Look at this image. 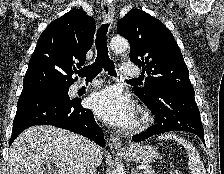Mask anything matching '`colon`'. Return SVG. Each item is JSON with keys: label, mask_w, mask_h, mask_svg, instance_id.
<instances>
[{"label": "colon", "mask_w": 224, "mask_h": 174, "mask_svg": "<svg viewBox=\"0 0 224 174\" xmlns=\"http://www.w3.org/2000/svg\"><path fill=\"white\" fill-rule=\"evenodd\" d=\"M170 174H183V173L176 168H172Z\"/></svg>", "instance_id": "5ec220e1"}]
</instances>
